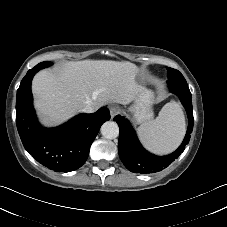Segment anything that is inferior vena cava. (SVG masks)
I'll list each match as a JSON object with an SVG mask.
<instances>
[{
	"mask_svg": "<svg viewBox=\"0 0 227 227\" xmlns=\"http://www.w3.org/2000/svg\"><path fill=\"white\" fill-rule=\"evenodd\" d=\"M95 110H97V108H96L94 105H92V104H88V105H86V106L82 109V111H83L84 113H92V112H94Z\"/></svg>",
	"mask_w": 227,
	"mask_h": 227,
	"instance_id": "obj_1",
	"label": "inferior vena cava"
}]
</instances>
